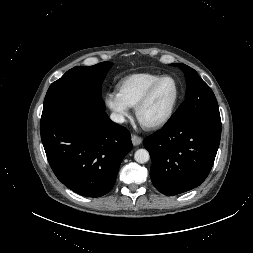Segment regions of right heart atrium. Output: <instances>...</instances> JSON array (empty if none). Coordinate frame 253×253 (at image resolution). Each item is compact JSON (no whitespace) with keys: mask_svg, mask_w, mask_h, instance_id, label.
<instances>
[{"mask_svg":"<svg viewBox=\"0 0 253 253\" xmlns=\"http://www.w3.org/2000/svg\"><path fill=\"white\" fill-rule=\"evenodd\" d=\"M104 101L117 120L123 121L128 116L129 108L119 100L117 95L109 93L105 96Z\"/></svg>","mask_w":253,"mask_h":253,"instance_id":"1","label":"right heart atrium"}]
</instances>
